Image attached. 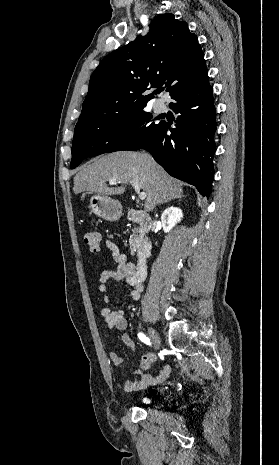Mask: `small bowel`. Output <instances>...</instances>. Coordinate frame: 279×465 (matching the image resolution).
Returning a JSON list of instances; mask_svg holds the SVG:
<instances>
[{
	"label": "small bowel",
	"instance_id": "small-bowel-1",
	"mask_svg": "<svg viewBox=\"0 0 279 465\" xmlns=\"http://www.w3.org/2000/svg\"><path fill=\"white\" fill-rule=\"evenodd\" d=\"M107 249L109 250L114 263L116 264L115 270H104L99 277L98 291L103 295L104 301L109 304L111 302L109 291V281H121L125 280L130 283V276L133 272L135 265L130 262L127 256L122 253L118 245L112 240H106L105 242ZM131 284V283H130ZM134 290L131 292V299L138 300L141 295L142 285L131 284ZM100 314L109 329H117L124 331L128 322L125 317L123 310H113L110 307H104L101 309ZM122 342L131 351H135V343L131 336L124 333L121 337ZM156 355L153 352H149L141 355L138 358L137 369L133 372L134 379H126L123 381V389L126 392L138 391L145 389L152 385H157L164 382L171 374V367L165 365L155 375L150 374L151 363L155 360ZM109 360L116 366L119 367L122 363V357L115 351L109 353Z\"/></svg>",
	"mask_w": 279,
	"mask_h": 465
}]
</instances>
